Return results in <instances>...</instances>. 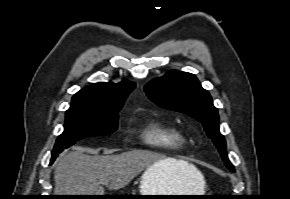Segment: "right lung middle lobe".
<instances>
[{
	"label": "right lung middle lobe",
	"instance_id": "dd1d6c3e",
	"mask_svg": "<svg viewBox=\"0 0 290 199\" xmlns=\"http://www.w3.org/2000/svg\"><path fill=\"white\" fill-rule=\"evenodd\" d=\"M118 112L68 109L64 132L57 138L52 158L81 139L115 132L118 128Z\"/></svg>",
	"mask_w": 290,
	"mask_h": 199
}]
</instances>
